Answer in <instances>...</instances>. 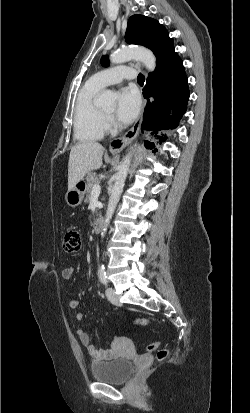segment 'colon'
I'll return each instance as SVG.
<instances>
[{"label":"colon","instance_id":"colon-1","mask_svg":"<svg viewBox=\"0 0 250 413\" xmlns=\"http://www.w3.org/2000/svg\"><path fill=\"white\" fill-rule=\"evenodd\" d=\"M81 248V235L77 231H68L64 237V249L67 252H77ZM148 318H137L136 324L145 326L149 324ZM148 352L156 351V357L158 360H164L168 357V350L160 347L159 342H154L146 346Z\"/></svg>","mask_w":250,"mask_h":413}]
</instances>
